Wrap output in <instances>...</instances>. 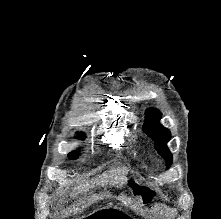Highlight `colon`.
<instances>
[{
  "mask_svg": "<svg viewBox=\"0 0 221 219\" xmlns=\"http://www.w3.org/2000/svg\"><path fill=\"white\" fill-rule=\"evenodd\" d=\"M138 192L141 196L145 197V198H148V199H151L152 196L149 192H147L145 189H143L142 187H138Z\"/></svg>",
  "mask_w": 221,
  "mask_h": 219,
  "instance_id": "5ec220e1",
  "label": "colon"
}]
</instances>
